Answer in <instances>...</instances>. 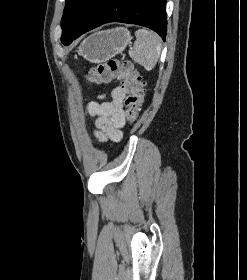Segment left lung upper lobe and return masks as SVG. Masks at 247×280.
Returning <instances> with one entry per match:
<instances>
[{
    "label": "left lung upper lobe",
    "instance_id": "left-lung-upper-lobe-1",
    "mask_svg": "<svg viewBox=\"0 0 247 280\" xmlns=\"http://www.w3.org/2000/svg\"><path fill=\"white\" fill-rule=\"evenodd\" d=\"M100 1L101 0H66L61 21V27L63 29L61 38L77 31L90 11Z\"/></svg>",
    "mask_w": 247,
    "mask_h": 280
}]
</instances>
